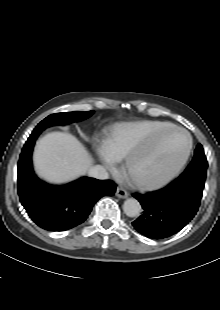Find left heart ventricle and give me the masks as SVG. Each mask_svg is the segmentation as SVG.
<instances>
[{"label":"left heart ventricle","mask_w":220,"mask_h":310,"mask_svg":"<svg viewBox=\"0 0 220 310\" xmlns=\"http://www.w3.org/2000/svg\"><path fill=\"white\" fill-rule=\"evenodd\" d=\"M187 146L188 138L184 133L168 130L157 139L150 152L136 159L134 171L144 179H160L178 165Z\"/></svg>","instance_id":"b2bd125f"}]
</instances>
